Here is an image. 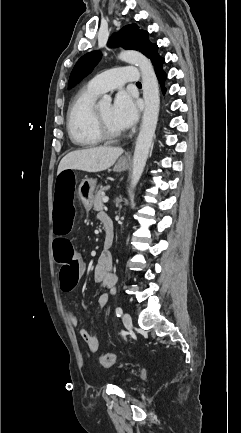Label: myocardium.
<instances>
[{"mask_svg":"<svg viewBox=\"0 0 241 433\" xmlns=\"http://www.w3.org/2000/svg\"><path fill=\"white\" fill-rule=\"evenodd\" d=\"M93 117L95 129L102 140L113 141L122 136V132H112L106 127L98 112L97 107H94Z\"/></svg>","mask_w":241,"mask_h":433,"instance_id":"myocardium-1","label":"myocardium"}]
</instances>
